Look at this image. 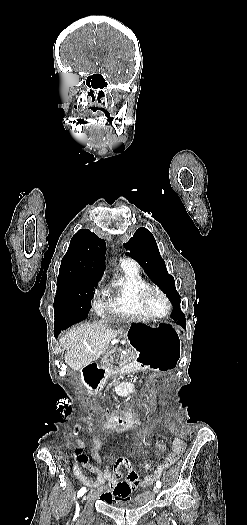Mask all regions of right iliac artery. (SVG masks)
I'll use <instances>...</instances> for the list:
<instances>
[{
	"label": "right iliac artery",
	"instance_id": "right-iliac-artery-1",
	"mask_svg": "<svg viewBox=\"0 0 247 525\" xmlns=\"http://www.w3.org/2000/svg\"><path fill=\"white\" fill-rule=\"evenodd\" d=\"M85 492H86V488H85V487H82V488L78 491V497H81Z\"/></svg>",
	"mask_w": 247,
	"mask_h": 525
}]
</instances>
